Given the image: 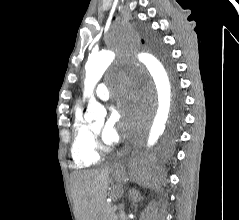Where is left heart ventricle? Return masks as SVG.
<instances>
[{"label": "left heart ventricle", "instance_id": "obj_1", "mask_svg": "<svg viewBox=\"0 0 239 220\" xmlns=\"http://www.w3.org/2000/svg\"><path fill=\"white\" fill-rule=\"evenodd\" d=\"M102 126H103V124L99 123L96 126H94L93 129L99 133L102 129Z\"/></svg>", "mask_w": 239, "mask_h": 220}]
</instances>
